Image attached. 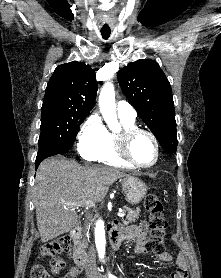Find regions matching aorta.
<instances>
[{"label": "aorta", "instance_id": "obj_1", "mask_svg": "<svg viewBox=\"0 0 221 278\" xmlns=\"http://www.w3.org/2000/svg\"><path fill=\"white\" fill-rule=\"evenodd\" d=\"M99 109L109 126H111L117 120L116 106H115V90L114 85L107 81L99 95ZM95 243L99 258H104L105 256V225L102 219L96 222L95 226Z\"/></svg>", "mask_w": 221, "mask_h": 278}]
</instances>
